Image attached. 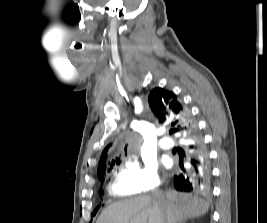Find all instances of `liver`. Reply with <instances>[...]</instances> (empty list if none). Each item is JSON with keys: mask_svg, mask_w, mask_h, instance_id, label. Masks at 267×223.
Masks as SVG:
<instances>
[{"mask_svg": "<svg viewBox=\"0 0 267 223\" xmlns=\"http://www.w3.org/2000/svg\"><path fill=\"white\" fill-rule=\"evenodd\" d=\"M209 204L188 193L170 190L155 196H138L111 204L97 223H181L208 212Z\"/></svg>", "mask_w": 267, "mask_h": 223, "instance_id": "1", "label": "liver"}]
</instances>
